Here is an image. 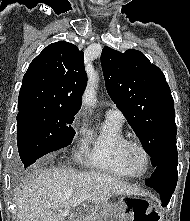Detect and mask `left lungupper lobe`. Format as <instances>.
Masks as SVG:
<instances>
[{
  "mask_svg": "<svg viewBox=\"0 0 190 221\" xmlns=\"http://www.w3.org/2000/svg\"><path fill=\"white\" fill-rule=\"evenodd\" d=\"M101 64L107 92L149 154L155 168L177 151L174 101L163 72L140 51L104 47Z\"/></svg>",
  "mask_w": 190,
  "mask_h": 221,
  "instance_id": "obj_1",
  "label": "left lung upper lobe"
}]
</instances>
